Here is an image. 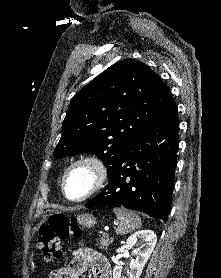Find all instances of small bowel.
<instances>
[{
    "label": "small bowel",
    "mask_w": 221,
    "mask_h": 278,
    "mask_svg": "<svg viewBox=\"0 0 221 278\" xmlns=\"http://www.w3.org/2000/svg\"><path fill=\"white\" fill-rule=\"evenodd\" d=\"M110 272L107 259L90 249L77 250L67 268L68 278H110Z\"/></svg>",
    "instance_id": "1"
}]
</instances>
